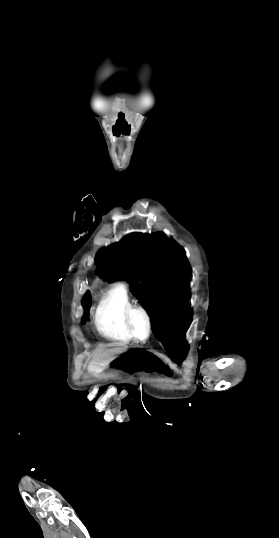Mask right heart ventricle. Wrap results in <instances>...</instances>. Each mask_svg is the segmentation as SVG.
Listing matches in <instances>:
<instances>
[{
	"instance_id": "1",
	"label": "right heart ventricle",
	"mask_w": 279,
	"mask_h": 538,
	"mask_svg": "<svg viewBox=\"0 0 279 538\" xmlns=\"http://www.w3.org/2000/svg\"><path fill=\"white\" fill-rule=\"evenodd\" d=\"M85 234H91L97 240L101 238L103 231L101 228L89 226ZM132 305L134 301L125 284L117 283L110 286L102 293L94 311L93 319L98 331L113 340L130 341L131 338L124 324V316L126 310Z\"/></svg>"
}]
</instances>
